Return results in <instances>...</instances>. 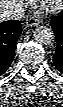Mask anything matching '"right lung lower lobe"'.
Instances as JSON below:
<instances>
[{"instance_id": "obj_1", "label": "right lung lower lobe", "mask_w": 63, "mask_h": 107, "mask_svg": "<svg viewBox=\"0 0 63 107\" xmlns=\"http://www.w3.org/2000/svg\"><path fill=\"white\" fill-rule=\"evenodd\" d=\"M18 20L0 23V76L10 67L15 54L16 41L21 34Z\"/></svg>"}]
</instances>
